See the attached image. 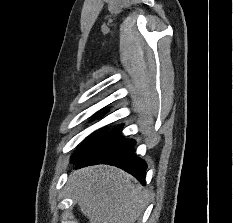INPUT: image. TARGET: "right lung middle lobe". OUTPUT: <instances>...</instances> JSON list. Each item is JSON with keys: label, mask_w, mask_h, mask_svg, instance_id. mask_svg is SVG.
Wrapping results in <instances>:
<instances>
[{"label": "right lung middle lobe", "mask_w": 233, "mask_h": 223, "mask_svg": "<svg viewBox=\"0 0 233 223\" xmlns=\"http://www.w3.org/2000/svg\"><path fill=\"white\" fill-rule=\"evenodd\" d=\"M107 131H102L100 133H97L91 137H88L82 145L76 150L74 153V157L81 156L85 154L87 151H89L105 134Z\"/></svg>", "instance_id": "right-lung-middle-lobe-1"}]
</instances>
